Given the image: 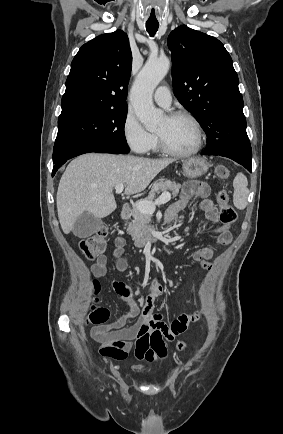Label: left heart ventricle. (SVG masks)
<instances>
[{"label": "left heart ventricle", "mask_w": 283, "mask_h": 434, "mask_svg": "<svg viewBox=\"0 0 283 434\" xmlns=\"http://www.w3.org/2000/svg\"><path fill=\"white\" fill-rule=\"evenodd\" d=\"M156 132L163 137L170 148L176 151H188L193 148L196 141L192 124L183 118L164 117Z\"/></svg>", "instance_id": "1"}]
</instances>
